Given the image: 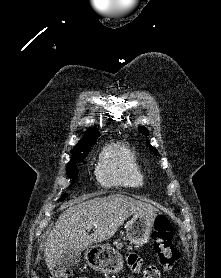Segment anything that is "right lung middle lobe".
<instances>
[{
	"label": "right lung middle lobe",
	"instance_id": "1",
	"mask_svg": "<svg viewBox=\"0 0 221 278\" xmlns=\"http://www.w3.org/2000/svg\"><path fill=\"white\" fill-rule=\"evenodd\" d=\"M93 144L83 147L81 149H78L76 151H73V156L71 158V160L69 161L67 168H66V173L68 175L69 178L74 179L77 176V167L74 165L76 163L81 162L83 159L86 158V156L88 155V152L91 148ZM67 196V194H64L62 196V198L60 199V201L64 200L65 197Z\"/></svg>",
	"mask_w": 221,
	"mask_h": 278
}]
</instances>
